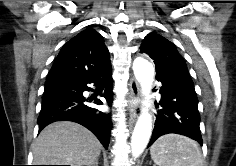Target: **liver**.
<instances>
[{
    "instance_id": "1",
    "label": "liver",
    "mask_w": 236,
    "mask_h": 166,
    "mask_svg": "<svg viewBox=\"0 0 236 166\" xmlns=\"http://www.w3.org/2000/svg\"><path fill=\"white\" fill-rule=\"evenodd\" d=\"M101 143L85 127L59 121L45 127L33 144L34 165L91 166L99 157Z\"/></svg>"
}]
</instances>
